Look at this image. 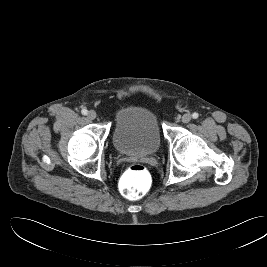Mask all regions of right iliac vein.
Returning a JSON list of instances; mask_svg holds the SVG:
<instances>
[{"mask_svg": "<svg viewBox=\"0 0 267 267\" xmlns=\"http://www.w3.org/2000/svg\"><path fill=\"white\" fill-rule=\"evenodd\" d=\"M87 116H88L89 119L94 120L97 117V114H96V112L94 110H90L87 113Z\"/></svg>", "mask_w": 267, "mask_h": 267, "instance_id": "obj_1", "label": "right iliac vein"}]
</instances>
